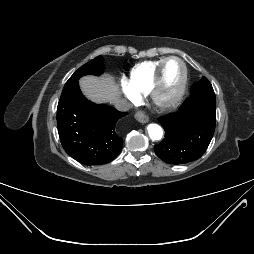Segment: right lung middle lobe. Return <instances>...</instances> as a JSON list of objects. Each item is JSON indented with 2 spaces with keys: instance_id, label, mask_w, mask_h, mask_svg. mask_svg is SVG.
I'll return each mask as SVG.
<instances>
[{
  "instance_id": "dd1d6c3e",
  "label": "right lung middle lobe",
  "mask_w": 254,
  "mask_h": 254,
  "mask_svg": "<svg viewBox=\"0 0 254 254\" xmlns=\"http://www.w3.org/2000/svg\"><path fill=\"white\" fill-rule=\"evenodd\" d=\"M104 70L103 59L102 56H98L90 62L81 66L76 72L69 78L66 82H71L74 80H78L80 77L92 74V75H100Z\"/></svg>"
}]
</instances>
